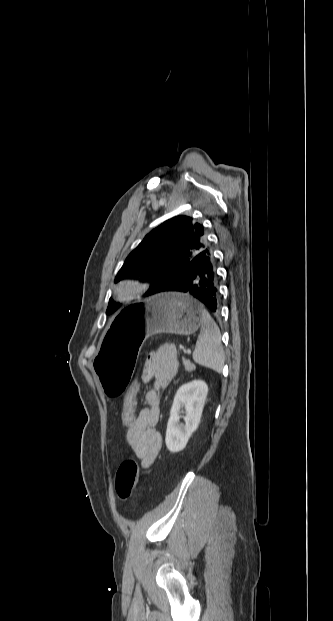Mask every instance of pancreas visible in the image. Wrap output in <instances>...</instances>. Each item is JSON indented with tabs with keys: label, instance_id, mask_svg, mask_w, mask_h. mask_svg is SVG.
Returning a JSON list of instances; mask_svg holds the SVG:
<instances>
[{
	"label": "pancreas",
	"instance_id": "cf45deb5",
	"mask_svg": "<svg viewBox=\"0 0 333 621\" xmlns=\"http://www.w3.org/2000/svg\"><path fill=\"white\" fill-rule=\"evenodd\" d=\"M183 364H184V367H185V370H186V371H188V372H192V371H194V370H195V365H194L193 363H191V361H190V360H188V359H183Z\"/></svg>",
	"mask_w": 333,
	"mask_h": 621
}]
</instances>
